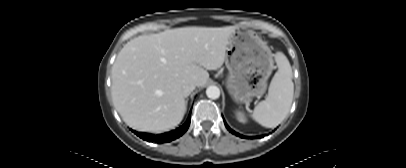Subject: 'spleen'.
Returning a JSON list of instances; mask_svg holds the SVG:
<instances>
[{
    "mask_svg": "<svg viewBox=\"0 0 406 168\" xmlns=\"http://www.w3.org/2000/svg\"><path fill=\"white\" fill-rule=\"evenodd\" d=\"M278 71L268 90V96L253 110L252 118L266 128L278 126L288 115L294 94L292 68L282 52L275 54Z\"/></svg>",
    "mask_w": 406,
    "mask_h": 168,
    "instance_id": "1",
    "label": "spleen"
}]
</instances>
